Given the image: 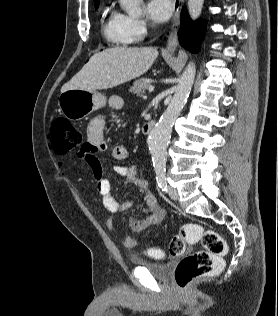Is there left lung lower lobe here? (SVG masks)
<instances>
[{"label": "left lung lower lobe", "mask_w": 278, "mask_h": 316, "mask_svg": "<svg viewBox=\"0 0 278 316\" xmlns=\"http://www.w3.org/2000/svg\"><path fill=\"white\" fill-rule=\"evenodd\" d=\"M204 24L202 22L193 23L186 10L181 15V29L178 33L180 44L195 53L198 51L199 44L203 36Z\"/></svg>", "instance_id": "left-lung-lower-lobe-1"}]
</instances>
